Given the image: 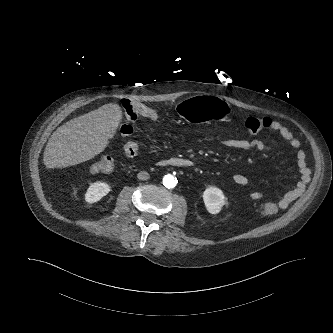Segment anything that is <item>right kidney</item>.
Segmentation results:
<instances>
[{
    "instance_id": "1",
    "label": "right kidney",
    "mask_w": 333,
    "mask_h": 333,
    "mask_svg": "<svg viewBox=\"0 0 333 333\" xmlns=\"http://www.w3.org/2000/svg\"><path fill=\"white\" fill-rule=\"evenodd\" d=\"M110 191L111 187L109 186V184L97 181L95 183H92L87 189V192L85 194V200L88 203H95L101 200Z\"/></svg>"
}]
</instances>
